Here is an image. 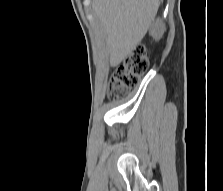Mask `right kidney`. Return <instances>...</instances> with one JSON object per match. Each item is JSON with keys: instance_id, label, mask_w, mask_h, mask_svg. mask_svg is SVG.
I'll return each instance as SVG.
<instances>
[{"instance_id": "right-kidney-1", "label": "right kidney", "mask_w": 223, "mask_h": 191, "mask_svg": "<svg viewBox=\"0 0 223 191\" xmlns=\"http://www.w3.org/2000/svg\"><path fill=\"white\" fill-rule=\"evenodd\" d=\"M163 31H164V25L162 24V22L159 19L157 21H155L150 28V34L155 39L160 38Z\"/></svg>"}]
</instances>
